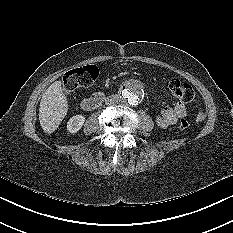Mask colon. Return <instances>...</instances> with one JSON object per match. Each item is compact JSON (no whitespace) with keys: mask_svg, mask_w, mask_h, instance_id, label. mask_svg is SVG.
<instances>
[{"mask_svg":"<svg viewBox=\"0 0 233 233\" xmlns=\"http://www.w3.org/2000/svg\"><path fill=\"white\" fill-rule=\"evenodd\" d=\"M98 77V68L94 65H86L66 72L63 76V89L66 93H71L78 88L90 86ZM172 95L183 102H196V93L193 87L186 81L172 79L169 83ZM190 123L186 119H181L179 127L187 130Z\"/></svg>","mask_w":233,"mask_h":233,"instance_id":"colon-1","label":"colon"}]
</instances>
